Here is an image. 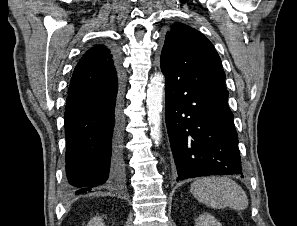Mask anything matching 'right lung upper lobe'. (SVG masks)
I'll use <instances>...</instances> for the list:
<instances>
[{
    "label": "right lung upper lobe",
    "mask_w": 297,
    "mask_h": 226,
    "mask_svg": "<svg viewBox=\"0 0 297 226\" xmlns=\"http://www.w3.org/2000/svg\"><path fill=\"white\" fill-rule=\"evenodd\" d=\"M118 63L103 45L89 49L78 62L71 78L68 95L108 86L118 78Z\"/></svg>",
    "instance_id": "obj_1"
}]
</instances>
